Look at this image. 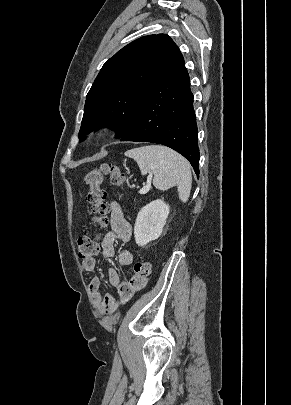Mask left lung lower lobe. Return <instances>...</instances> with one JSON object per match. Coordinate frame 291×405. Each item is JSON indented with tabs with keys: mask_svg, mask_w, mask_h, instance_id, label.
Returning <instances> with one entry per match:
<instances>
[{
	"mask_svg": "<svg viewBox=\"0 0 291 405\" xmlns=\"http://www.w3.org/2000/svg\"><path fill=\"white\" fill-rule=\"evenodd\" d=\"M120 141L168 146L187 158L199 175L193 94L181 53L147 92L131 129Z\"/></svg>",
	"mask_w": 291,
	"mask_h": 405,
	"instance_id": "obj_1",
	"label": "left lung lower lobe"
}]
</instances>
